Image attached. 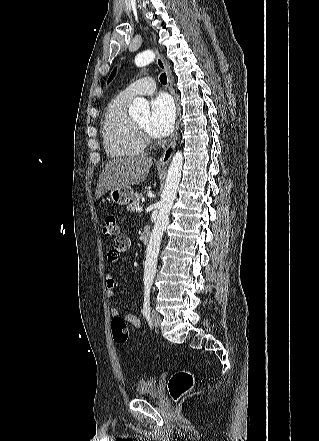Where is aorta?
I'll return each instance as SVG.
<instances>
[{
	"instance_id": "1",
	"label": "aorta",
	"mask_w": 319,
	"mask_h": 441,
	"mask_svg": "<svg viewBox=\"0 0 319 441\" xmlns=\"http://www.w3.org/2000/svg\"><path fill=\"white\" fill-rule=\"evenodd\" d=\"M155 59V54L150 51H144L135 57V64L137 67H144L152 63ZM129 115L134 119H150V109L147 101L144 98L138 97L134 99L129 108ZM183 166V156L181 151H177L173 156L168 170V176L162 192L161 200L159 202V212L155 222L149 244L146 250V260L144 268V286H152L156 267L160 244L163 233L169 222V214L176 198V192L181 179V172Z\"/></svg>"
}]
</instances>
